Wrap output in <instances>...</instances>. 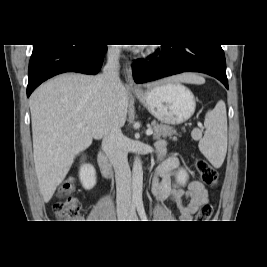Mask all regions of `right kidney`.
Instances as JSON below:
<instances>
[{
	"label": "right kidney",
	"mask_w": 267,
	"mask_h": 267,
	"mask_svg": "<svg viewBox=\"0 0 267 267\" xmlns=\"http://www.w3.org/2000/svg\"><path fill=\"white\" fill-rule=\"evenodd\" d=\"M79 178L85 189H92L96 184V171L91 164H82L79 170Z\"/></svg>",
	"instance_id": "obj_1"
}]
</instances>
